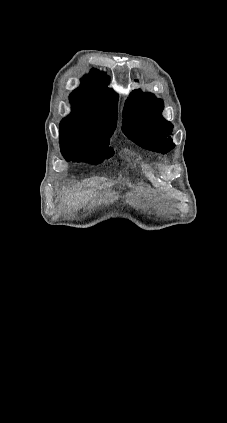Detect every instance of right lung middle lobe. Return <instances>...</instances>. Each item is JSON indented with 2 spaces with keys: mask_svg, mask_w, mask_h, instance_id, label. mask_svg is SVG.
Returning <instances> with one entry per match:
<instances>
[{
  "mask_svg": "<svg viewBox=\"0 0 227 423\" xmlns=\"http://www.w3.org/2000/svg\"><path fill=\"white\" fill-rule=\"evenodd\" d=\"M109 138L93 141H60L61 152L67 161L100 163L113 156L108 148Z\"/></svg>",
  "mask_w": 227,
  "mask_h": 423,
  "instance_id": "dd1d6c3e",
  "label": "right lung middle lobe"
}]
</instances>
